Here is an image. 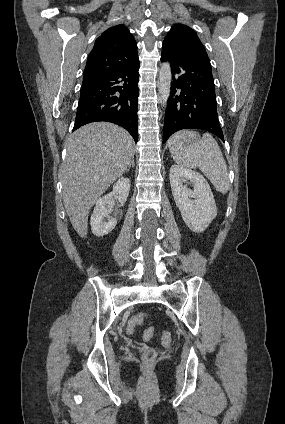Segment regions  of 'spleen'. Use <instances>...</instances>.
I'll return each instance as SVG.
<instances>
[{
    "instance_id": "obj_1",
    "label": "spleen",
    "mask_w": 285,
    "mask_h": 424,
    "mask_svg": "<svg viewBox=\"0 0 285 424\" xmlns=\"http://www.w3.org/2000/svg\"><path fill=\"white\" fill-rule=\"evenodd\" d=\"M174 161L188 168H199L210 180L215 189L222 194L229 190L227 165L212 135L200 137L195 131H181L168 142Z\"/></svg>"
}]
</instances>
